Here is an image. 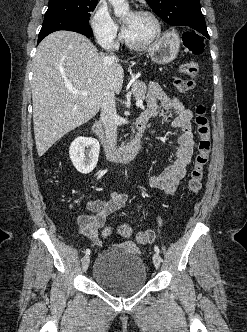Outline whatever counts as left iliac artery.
Instances as JSON below:
<instances>
[{"instance_id": "1", "label": "left iliac artery", "mask_w": 247, "mask_h": 332, "mask_svg": "<svg viewBox=\"0 0 247 332\" xmlns=\"http://www.w3.org/2000/svg\"><path fill=\"white\" fill-rule=\"evenodd\" d=\"M154 250H155L156 253H158V254L160 253L159 247L156 246V245L154 246Z\"/></svg>"}]
</instances>
